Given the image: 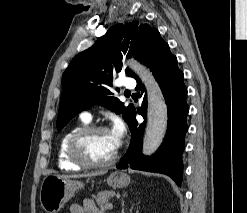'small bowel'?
<instances>
[{"mask_svg":"<svg viewBox=\"0 0 247 213\" xmlns=\"http://www.w3.org/2000/svg\"><path fill=\"white\" fill-rule=\"evenodd\" d=\"M70 213H102L91 199H85L81 204L70 206Z\"/></svg>","mask_w":247,"mask_h":213,"instance_id":"small-bowel-1","label":"small bowel"}]
</instances>
